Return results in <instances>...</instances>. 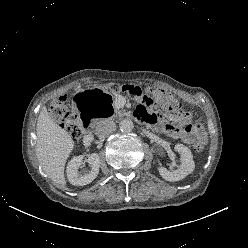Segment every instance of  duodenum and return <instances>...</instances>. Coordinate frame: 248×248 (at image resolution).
<instances>
[{"label": "duodenum", "instance_id": "410a0bca", "mask_svg": "<svg viewBox=\"0 0 248 248\" xmlns=\"http://www.w3.org/2000/svg\"><path fill=\"white\" fill-rule=\"evenodd\" d=\"M92 118L94 117L88 116V117L82 118V123H83L84 128L86 129L88 136H90L92 132Z\"/></svg>", "mask_w": 248, "mask_h": 248}]
</instances>
